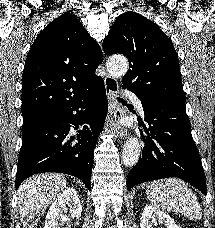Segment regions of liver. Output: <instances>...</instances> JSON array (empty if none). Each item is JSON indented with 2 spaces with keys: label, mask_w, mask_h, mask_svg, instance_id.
<instances>
[{
  "label": "liver",
  "mask_w": 215,
  "mask_h": 228,
  "mask_svg": "<svg viewBox=\"0 0 215 228\" xmlns=\"http://www.w3.org/2000/svg\"><path fill=\"white\" fill-rule=\"evenodd\" d=\"M62 174H37L22 182L17 190L19 216L23 228H37L41 214L66 188Z\"/></svg>",
  "instance_id": "liver-1"
}]
</instances>
